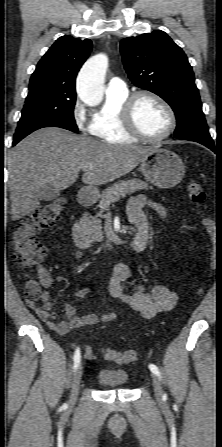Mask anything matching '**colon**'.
I'll use <instances>...</instances> for the list:
<instances>
[{
    "label": "colon",
    "mask_w": 222,
    "mask_h": 447,
    "mask_svg": "<svg viewBox=\"0 0 222 447\" xmlns=\"http://www.w3.org/2000/svg\"><path fill=\"white\" fill-rule=\"evenodd\" d=\"M187 193L191 201L199 208L202 223L206 232L212 240V250L210 253L209 266L213 269L216 265V252L214 240L217 236V227L214 219L208 214L205 205L206 195L202 185L191 179L187 185ZM67 202L64 198H57L33 213L25 216L16 227L12 238V260L23 270L26 277L24 288L27 302H37L42 294V286L48 277L47 273L41 269L40 263L48 254L47 247L37 238L38 232L48 227L54 226L64 213ZM36 269L37 276L31 275V270ZM201 292V291H200ZM106 360L118 364L132 363L137 359L135 350L116 351L110 348L102 350Z\"/></svg>",
    "instance_id": "obj_1"
}]
</instances>
